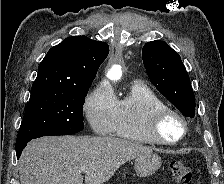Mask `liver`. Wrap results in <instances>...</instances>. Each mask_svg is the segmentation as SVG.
<instances>
[{"mask_svg":"<svg viewBox=\"0 0 224 184\" xmlns=\"http://www.w3.org/2000/svg\"><path fill=\"white\" fill-rule=\"evenodd\" d=\"M150 153L148 147L116 137H42L21 154L20 184H103L127 161Z\"/></svg>","mask_w":224,"mask_h":184,"instance_id":"6515ba94","label":"liver"}]
</instances>
